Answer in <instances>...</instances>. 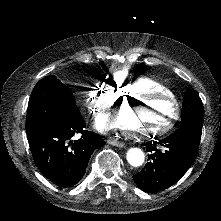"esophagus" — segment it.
Instances as JSON below:
<instances>
[{"label":"esophagus","mask_w":221,"mask_h":221,"mask_svg":"<svg viewBox=\"0 0 221 221\" xmlns=\"http://www.w3.org/2000/svg\"><path fill=\"white\" fill-rule=\"evenodd\" d=\"M106 143L109 144V145H112V146H116V147H123L124 146L123 142L118 141V140L113 139V138H108L106 140Z\"/></svg>","instance_id":"34e87169"}]
</instances>
